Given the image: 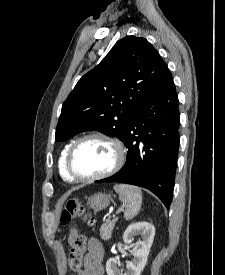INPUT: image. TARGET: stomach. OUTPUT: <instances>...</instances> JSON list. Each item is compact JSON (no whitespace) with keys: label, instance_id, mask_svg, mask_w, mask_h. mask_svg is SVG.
<instances>
[{"label":"stomach","instance_id":"stomach-1","mask_svg":"<svg viewBox=\"0 0 225 275\" xmlns=\"http://www.w3.org/2000/svg\"><path fill=\"white\" fill-rule=\"evenodd\" d=\"M110 204V196L104 193H98L88 199V205L94 211H101Z\"/></svg>","mask_w":225,"mask_h":275}]
</instances>
